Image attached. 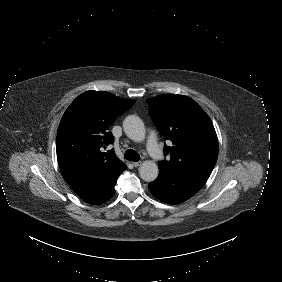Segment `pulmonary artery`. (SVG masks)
<instances>
[{"label": "pulmonary artery", "mask_w": 282, "mask_h": 282, "mask_svg": "<svg viewBox=\"0 0 282 282\" xmlns=\"http://www.w3.org/2000/svg\"><path fill=\"white\" fill-rule=\"evenodd\" d=\"M148 154L154 162H161L164 159V152L161 150L160 143L151 139L147 143Z\"/></svg>", "instance_id": "obj_1"}]
</instances>
